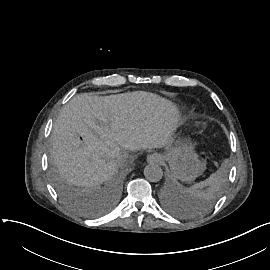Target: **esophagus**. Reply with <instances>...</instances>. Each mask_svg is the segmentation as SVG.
I'll return each mask as SVG.
<instances>
[{
	"label": "esophagus",
	"mask_w": 270,
	"mask_h": 270,
	"mask_svg": "<svg viewBox=\"0 0 270 270\" xmlns=\"http://www.w3.org/2000/svg\"><path fill=\"white\" fill-rule=\"evenodd\" d=\"M161 157L158 153L149 154L147 156V162L148 163H158L160 162Z\"/></svg>",
	"instance_id": "obj_1"
}]
</instances>
